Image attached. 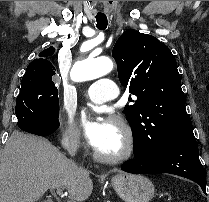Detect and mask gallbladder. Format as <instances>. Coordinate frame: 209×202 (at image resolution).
<instances>
[{
	"label": "gallbladder",
	"instance_id": "bac80fb5",
	"mask_svg": "<svg viewBox=\"0 0 209 202\" xmlns=\"http://www.w3.org/2000/svg\"><path fill=\"white\" fill-rule=\"evenodd\" d=\"M45 202H52L51 199H47Z\"/></svg>",
	"mask_w": 209,
	"mask_h": 202
}]
</instances>
